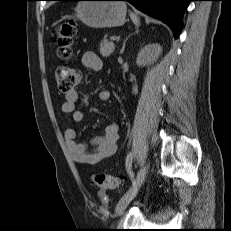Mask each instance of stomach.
<instances>
[{"label":"stomach","instance_id":"stomach-1","mask_svg":"<svg viewBox=\"0 0 231 231\" xmlns=\"http://www.w3.org/2000/svg\"><path fill=\"white\" fill-rule=\"evenodd\" d=\"M77 18L91 28L122 26L126 21V5L115 0H85L78 3Z\"/></svg>","mask_w":231,"mask_h":231}]
</instances>
